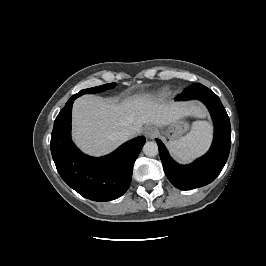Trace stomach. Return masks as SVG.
<instances>
[{
	"instance_id": "obj_1",
	"label": "stomach",
	"mask_w": 266,
	"mask_h": 266,
	"mask_svg": "<svg viewBox=\"0 0 266 266\" xmlns=\"http://www.w3.org/2000/svg\"><path fill=\"white\" fill-rule=\"evenodd\" d=\"M188 128V123L184 119L179 118L168 124L166 128H162V133L170 140H177Z\"/></svg>"
}]
</instances>
